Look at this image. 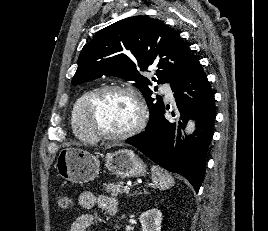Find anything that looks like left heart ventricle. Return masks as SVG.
<instances>
[{"label":"left heart ventricle","instance_id":"b2bd125f","mask_svg":"<svg viewBox=\"0 0 268 231\" xmlns=\"http://www.w3.org/2000/svg\"><path fill=\"white\" fill-rule=\"evenodd\" d=\"M138 115L137 106L129 96L109 93L98 101L93 123L98 130L118 133L131 128L138 120Z\"/></svg>","mask_w":268,"mask_h":231}]
</instances>
